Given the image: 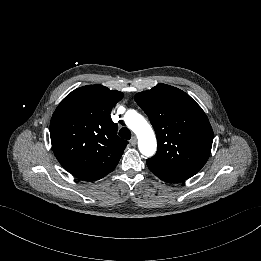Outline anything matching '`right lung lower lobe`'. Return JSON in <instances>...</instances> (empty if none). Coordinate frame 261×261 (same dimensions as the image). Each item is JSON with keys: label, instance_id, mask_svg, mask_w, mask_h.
<instances>
[{"label": "right lung lower lobe", "instance_id": "obj_1", "mask_svg": "<svg viewBox=\"0 0 261 261\" xmlns=\"http://www.w3.org/2000/svg\"><path fill=\"white\" fill-rule=\"evenodd\" d=\"M116 165H117V164H116ZM116 165H114V166L112 167V169L110 170V172L115 169ZM110 172H109V173H110ZM105 176H106V175H105Z\"/></svg>", "mask_w": 261, "mask_h": 261}]
</instances>
